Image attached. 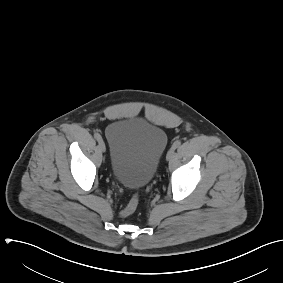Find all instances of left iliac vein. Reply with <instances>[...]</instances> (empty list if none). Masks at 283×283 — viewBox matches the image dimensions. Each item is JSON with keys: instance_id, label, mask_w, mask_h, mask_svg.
Masks as SVG:
<instances>
[{"instance_id": "left-iliac-vein-1", "label": "left iliac vein", "mask_w": 283, "mask_h": 283, "mask_svg": "<svg viewBox=\"0 0 283 283\" xmlns=\"http://www.w3.org/2000/svg\"><path fill=\"white\" fill-rule=\"evenodd\" d=\"M173 155H174V149L170 148L167 152L166 159L170 160L173 157Z\"/></svg>"}]
</instances>
